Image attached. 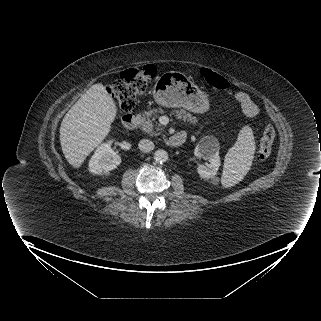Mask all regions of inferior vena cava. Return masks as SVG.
Returning <instances> with one entry per match:
<instances>
[{
	"instance_id": "1",
	"label": "inferior vena cava",
	"mask_w": 321,
	"mask_h": 321,
	"mask_svg": "<svg viewBox=\"0 0 321 321\" xmlns=\"http://www.w3.org/2000/svg\"><path fill=\"white\" fill-rule=\"evenodd\" d=\"M139 149L144 153H149L154 149V143L149 139H142L138 144Z\"/></svg>"
}]
</instances>
